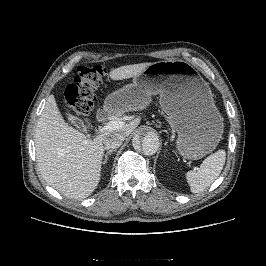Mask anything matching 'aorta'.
Instances as JSON below:
<instances>
[{
	"label": "aorta",
	"mask_w": 266,
	"mask_h": 266,
	"mask_svg": "<svg viewBox=\"0 0 266 266\" xmlns=\"http://www.w3.org/2000/svg\"><path fill=\"white\" fill-rule=\"evenodd\" d=\"M138 145H141V149L145 155H153L159 149V137L152 130H142L139 132L137 139L133 142L135 148H137Z\"/></svg>",
	"instance_id": "aorta-1"
}]
</instances>
